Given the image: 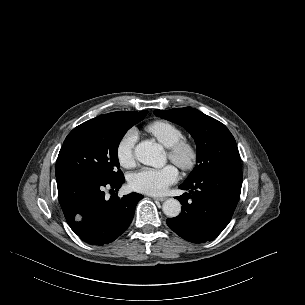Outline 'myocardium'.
<instances>
[{"label":"myocardium","mask_w":305,"mask_h":305,"mask_svg":"<svg viewBox=\"0 0 305 305\" xmlns=\"http://www.w3.org/2000/svg\"><path fill=\"white\" fill-rule=\"evenodd\" d=\"M168 157L181 169L189 170L195 165L197 151L193 143L182 139L168 148Z\"/></svg>","instance_id":"myocardium-1"}]
</instances>
